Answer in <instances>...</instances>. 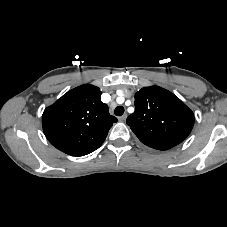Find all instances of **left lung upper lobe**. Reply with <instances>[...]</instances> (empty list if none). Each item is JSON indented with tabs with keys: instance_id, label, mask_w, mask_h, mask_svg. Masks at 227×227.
Instances as JSON below:
<instances>
[{
	"instance_id": "obj_1",
	"label": "left lung upper lobe",
	"mask_w": 227,
	"mask_h": 227,
	"mask_svg": "<svg viewBox=\"0 0 227 227\" xmlns=\"http://www.w3.org/2000/svg\"><path fill=\"white\" fill-rule=\"evenodd\" d=\"M126 122L143 144L163 151L186 139L193 128L194 115L170 91L150 86L135 94V112Z\"/></svg>"
}]
</instances>
